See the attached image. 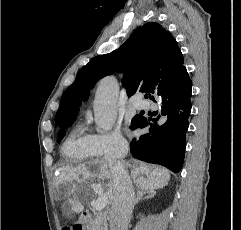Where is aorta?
<instances>
[{
  "label": "aorta",
  "mask_w": 241,
  "mask_h": 230,
  "mask_svg": "<svg viewBox=\"0 0 241 230\" xmlns=\"http://www.w3.org/2000/svg\"><path fill=\"white\" fill-rule=\"evenodd\" d=\"M118 94L119 87L114 76H107L99 82L94 100V120L102 132L111 130L116 121Z\"/></svg>",
  "instance_id": "762f6f07"
}]
</instances>
